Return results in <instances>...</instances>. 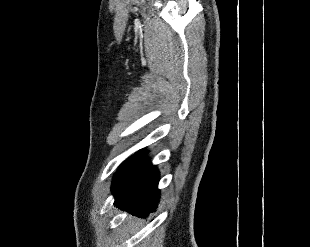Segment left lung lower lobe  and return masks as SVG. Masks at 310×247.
<instances>
[{
	"label": "left lung lower lobe",
	"instance_id": "obj_1",
	"mask_svg": "<svg viewBox=\"0 0 310 247\" xmlns=\"http://www.w3.org/2000/svg\"><path fill=\"white\" fill-rule=\"evenodd\" d=\"M139 151L120 168L113 180L115 204L122 210L144 217L158 203L159 172Z\"/></svg>",
	"mask_w": 310,
	"mask_h": 247
}]
</instances>
